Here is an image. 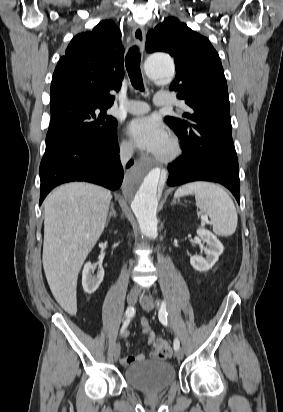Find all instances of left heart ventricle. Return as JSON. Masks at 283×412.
Listing matches in <instances>:
<instances>
[{
  "mask_svg": "<svg viewBox=\"0 0 283 412\" xmlns=\"http://www.w3.org/2000/svg\"><path fill=\"white\" fill-rule=\"evenodd\" d=\"M169 149H170V144H169V141H167L164 147L157 154H165L169 151Z\"/></svg>",
  "mask_w": 283,
  "mask_h": 412,
  "instance_id": "1",
  "label": "left heart ventricle"
}]
</instances>
